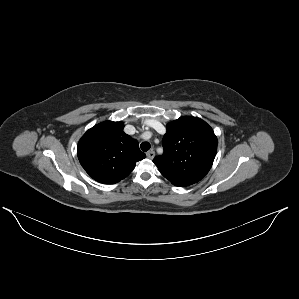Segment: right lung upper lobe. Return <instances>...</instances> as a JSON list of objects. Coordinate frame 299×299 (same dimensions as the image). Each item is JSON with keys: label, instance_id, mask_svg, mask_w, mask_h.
Returning <instances> with one entry per match:
<instances>
[{"label": "right lung upper lobe", "instance_id": "1", "mask_svg": "<svg viewBox=\"0 0 299 299\" xmlns=\"http://www.w3.org/2000/svg\"><path fill=\"white\" fill-rule=\"evenodd\" d=\"M123 128L122 122L105 121L89 129L78 143L82 167L100 183L119 182L146 157L138 141L125 134Z\"/></svg>", "mask_w": 299, "mask_h": 299}]
</instances>
